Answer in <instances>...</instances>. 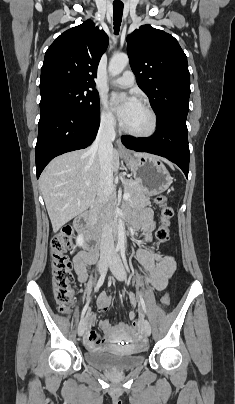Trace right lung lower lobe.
<instances>
[{
	"label": "right lung lower lobe",
	"mask_w": 235,
	"mask_h": 404,
	"mask_svg": "<svg viewBox=\"0 0 235 404\" xmlns=\"http://www.w3.org/2000/svg\"><path fill=\"white\" fill-rule=\"evenodd\" d=\"M99 124V109L88 115L56 109L40 112L35 148L37 178L54 157L90 145Z\"/></svg>",
	"instance_id": "obj_1"
}]
</instances>
